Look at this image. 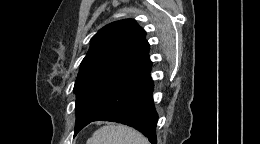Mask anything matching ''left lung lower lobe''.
Instances as JSON below:
<instances>
[{"label": "left lung lower lobe", "instance_id": "left-lung-lower-lobe-1", "mask_svg": "<svg viewBox=\"0 0 260 144\" xmlns=\"http://www.w3.org/2000/svg\"><path fill=\"white\" fill-rule=\"evenodd\" d=\"M151 63L132 75L111 100L90 121L119 122L142 132L152 144H157L158 114L152 92Z\"/></svg>", "mask_w": 260, "mask_h": 144}]
</instances>
